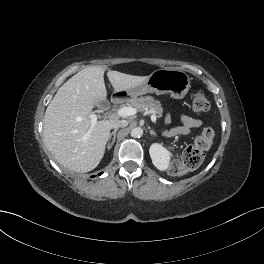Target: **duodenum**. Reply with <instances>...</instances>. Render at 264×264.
Masks as SVG:
<instances>
[{"label": "duodenum", "instance_id": "410a0bca", "mask_svg": "<svg viewBox=\"0 0 264 264\" xmlns=\"http://www.w3.org/2000/svg\"><path fill=\"white\" fill-rule=\"evenodd\" d=\"M121 98H122L121 95L115 96V97L113 98V101H114L115 103H117V102H119V101L121 100Z\"/></svg>", "mask_w": 264, "mask_h": 264}]
</instances>
